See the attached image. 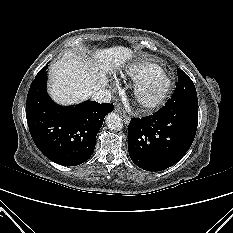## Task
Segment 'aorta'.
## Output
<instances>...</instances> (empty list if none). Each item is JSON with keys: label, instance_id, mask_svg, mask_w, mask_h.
<instances>
[{"label": "aorta", "instance_id": "762f6f07", "mask_svg": "<svg viewBox=\"0 0 233 233\" xmlns=\"http://www.w3.org/2000/svg\"><path fill=\"white\" fill-rule=\"evenodd\" d=\"M106 125L111 130H121L123 127V122L117 113L111 112L106 116Z\"/></svg>", "mask_w": 233, "mask_h": 233}]
</instances>
